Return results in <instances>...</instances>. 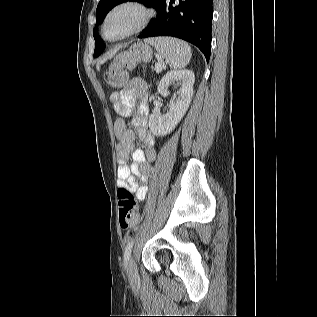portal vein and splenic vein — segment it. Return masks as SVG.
Instances as JSON below:
<instances>
[{"mask_svg": "<svg viewBox=\"0 0 317 317\" xmlns=\"http://www.w3.org/2000/svg\"><path fill=\"white\" fill-rule=\"evenodd\" d=\"M155 69L156 71H161L162 70V63L160 61H158L155 65Z\"/></svg>", "mask_w": 317, "mask_h": 317, "instance_id": "18ae733b", "label": "portal vein and splenic vein"}]
</instances>
